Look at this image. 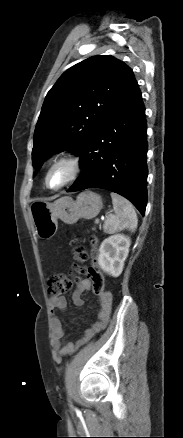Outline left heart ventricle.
Returning <instances> with one entry per match:
<instances>
[{
  "instance_id": "left-heart-ventricle-1",
  "label": "left heart ventricle",
  "mask_w": 183,
  "mask_h": 438,
  "mask_svg": "<svg viewBox=\"0 0 183 438\" xmlns=\"http://www.w3.org/2000/svg\"><path fill=\"white\" fill-rule=\"evenodd\" d=\"M69 174V168L64 164L53 167L48 175L49 186L57 187L61 185L69 177Z\"/></svg>"
}]
</instances>
